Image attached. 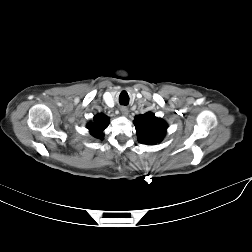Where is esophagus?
<instances>
[{
    "label": "esophagus",
    "mask_w": 252,
    "mask_h": 252,
    "mask_svg": "<svg viewBox=\"0 0 252 252\" xmlns=\"http://www.w3.org/2000/svg\"><path fill=\"white\" fill-rule=\"evenodd\" d=\"M120 111H121V114L123 115V116H127L128 115V108L127 107H121L120 108Z\"/></svg>",
    "instance_id": "esophagus-1"
}]
</instances>
